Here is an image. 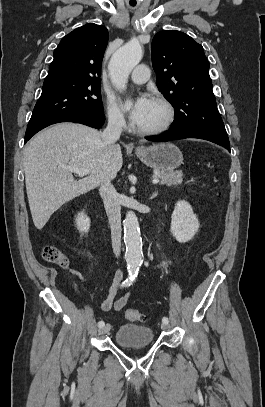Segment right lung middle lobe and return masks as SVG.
I'll return each instance as SVG.
<instances>
[{
    "label": "right lung middle lobe",
    "mask_w": 265,
    "mask_h": 407,
    "mask_svg": "<svg viewBox=\"0 0 265 407\" xmlns=\"http://www.w3.org/2000/svg\"><path fill=\"white\" fill-rule=\"evenodd\" d=\"M81 111L103 112L100 80L64 76L45 79L27 130L46 122Z\"/></svg>",
    "instance_id": "obj_1"
}]
</instances>
